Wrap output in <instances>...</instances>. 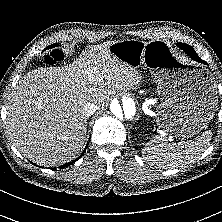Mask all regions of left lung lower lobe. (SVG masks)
Segmentation results:
<instances>
[{
	"label": "left lung lower lobe",
	"instance_id": "0a47b994",
	"mask_svg": "<svg viewBox=\"0 0 222 222\" xmlns=\"http://www.w3.org/2000/svg\"><path fill=\"white\" fill-rule=\"evenodd\" d=\"M187 54H189V56H190L192 59H194V60H196V61H198V62L207 64L204 60H202L201 58H199L196 53L188 52Z\"/></svg>",
	"mask_w": 222,
	"mask_h": 222
}]
</instances>
